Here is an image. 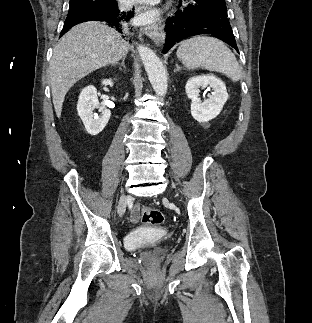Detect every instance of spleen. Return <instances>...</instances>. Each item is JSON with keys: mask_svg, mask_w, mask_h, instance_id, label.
I'll return each mask as SVG.
<instances>
[{"mask_svg": "<svg viewBox=\"0 0 312 323\" xmlns=\"http://www.w3.org/2000/svg\"><path fill=\"white\" fill-rule=\"evenodd\" d=\"M177 58L188 70L205 68L209 72H220L231 78L232 82H239L241 78V70L234 54L217 38L193 36L184 40L180 42Z\"/></svg>", "mask_w": 312, "mask_h": 323, "instance_id": "1", "label": "spleen"}]
</instances>
